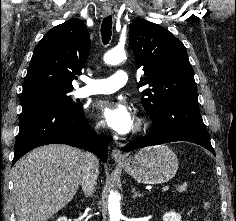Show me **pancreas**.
Wrapping results in <instances>:
<instances>
[{
	"mask_svg": "<svg viewBox=\"0 0 236 221\" xmlns=\"http://www.w3.org/2000/svg\"><path fill=\"white\" fill-rule=\"evenodd\" d=\"M186 188H187L186 184H183L182 186H180V187L178 188V191H179V192H184V191L186 190Z\"/></svg>",
	"mask_w": 236,
	"mask_h": 221,
	"instance_id": "1",
	"label": "pancreas"
}]
</instances>
